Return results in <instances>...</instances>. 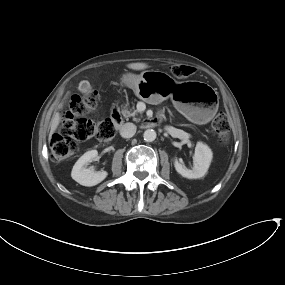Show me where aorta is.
<instances>
[{
  "label": "aorta",
  "mask_w": 285,
  "mask_h": 285,
  "mask_svg": "<svg viewBox=\"0 0 285 285\" xmlns=\"http://www.w3.org/2000/svg\"><path fill=\"white\" fill-rule=\"evenodd\" d=\"M156 132L153 129H147L143 133L144 140L147 142H152L156 139Z\"/></svg>",
  "instance_id": "762f6f07"
}]
</instances>
